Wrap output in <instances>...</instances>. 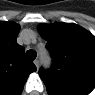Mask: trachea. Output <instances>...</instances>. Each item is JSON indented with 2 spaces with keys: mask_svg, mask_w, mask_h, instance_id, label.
I'll list each match as a JSON object with an SVG mask.
<instances>
[{
  "mask_svg": "<svg viewBox=\"0 0 95 95\" xmlns=\"http://www.w3.org/2000/svg\"><path fill=\"white\" fill-rule=\"evenodd\" d=\"M26 56H27V58H28L29 60H34V59L36 58V56H37V53H36V51H34V50H28V51L26 52Z\"/></svg>",
  "mask_w": 95,
  "mask_h": 95,
  "instance_id": "3493384b",
  "label": "trachea"
}]
</instances>
